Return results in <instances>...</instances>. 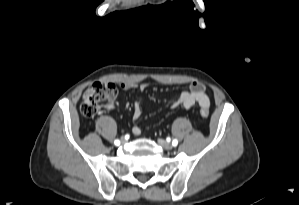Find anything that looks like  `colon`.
Returning a JSON list of instances; mask_svg holds the SVG:
<instances>
[{
  "instance_id": "5ec220e1",
  "label": "colon",
  "mask_w": 299,
  "mask_h": 205,
  "mask_svg": "<svg viewBox=\"0 0 299 205\" xmlns=\"http://www.w3.org/2000/svg\"><path fill=\"white\" fill-rule=\"evenodd\" d=\"M119 93V86L114 83L95 82L85 91L81 112L85 117L95 116L102 108L111 106ZM203 118L209 117V110L200 108Z\"/></svg>"
}]
</instances>
